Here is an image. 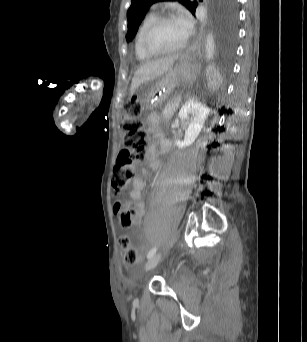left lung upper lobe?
I'll use <instances>...</instances> for the list:
<instances>
[{
	"mask_svg": "<svg viewBox=\"0 0 307 342\" xmlns=\"http://www.w3.org/2000/svg\"><path fill=\"white\" fill-rule=\"evenodd\" d=\"M131 6L127 11L128 33L127 41H130L136 33L138 26L143 20L149 7L163 0H131ZM185 5L193 14H195L198 3L189 0H178ZM202 1V0H200ZM217 25L218 42L221 51L224 54H231L234 48L236 38L237 11L235 0H218Z\"/></svg>",
	"mask_w": 307,
	"mask_h": 342,
	"instance_id": "5c2ea615",
	"label": "left lung upper lobe"
}]
</instances>
